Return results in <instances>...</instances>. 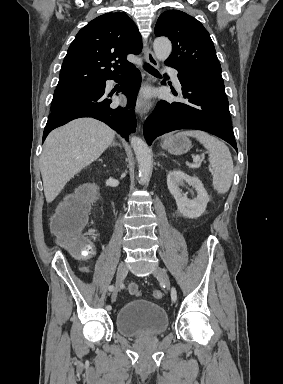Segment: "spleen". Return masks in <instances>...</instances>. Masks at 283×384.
<instances>
[{
	"mask_svg": "<svg viewBox=\"0 0 283 384\" xmlns=\"http://www.w3.org/2000/svg\"><path fill=\"white\" fill-rule=\"evenodd\" d=\"M176 136H192L209 150L210 170L213 178V188L218 194H226L233 180L234 168L232 156L226 144L205 134V132H179Z\"/></svg>",
	"mask_w": 283,
	"mask_h": 384,
	"instance_id": "spleen-1",
	"label": "spleen"
}]
</instances>
